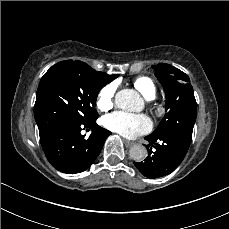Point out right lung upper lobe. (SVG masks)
Instances as JSON below:
<instances>
[{
	"label": "right lung upper lobe",
	"mask_w": 229,
	"mask_h": 229,
	"mask_svg": "<svg viewBox=\"0 0 229 229\" xmlns=\"http://www.w3.org/2000/svg\"><path fill=\"white\" fill-rule=\"evenodd\" d=\"M62 62L71 63V64H74V65L82 68L83 70H85L90 75V77L93 79V81L97 85L101 86L102 88L106 84L110 83L111 81H113L115 78H117L119 76V75H108L104 72L96 71L93 68H91L89 65H87L86 63L79 61V60H76V61L65 60Z\"/></svg>",
	"instance_id": "1"
}]
</instances>
